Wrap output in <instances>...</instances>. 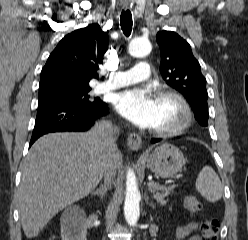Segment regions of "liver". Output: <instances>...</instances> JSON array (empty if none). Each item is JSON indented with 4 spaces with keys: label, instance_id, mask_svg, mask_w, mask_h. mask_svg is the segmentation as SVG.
<instances>
[{
    "label": "liver",
    "instance_id": "1",
    "mask_svg": "<svg viewBox=\"0 0 248 240\" xmlns=\"http://www.w3.org/2000/svg\"><path fill=\"white\" fill-rule=\"evenodd\" d=\"M88 132L51 133L31 147L22 166L18 200L23 231L36 237L62 209L92 192L105 173L110 153L117 167L118 151H109L106 125Z\"/></svg>",
    "mask_w": 248,
    "mask_h": 240
}]
</instances>
